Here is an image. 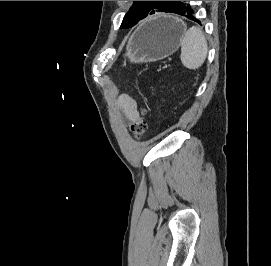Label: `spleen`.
Masks as SVG:
<instances>
[{
  "label": "spleen",
  "instance_id": "3e777b00",
  "mask_svg": "<svg viewBox=\"0 0 271 266\" xmlns=\"http://www.w3.org/2000/svg\"><path fill=\"white\" fill-rule=\"evenodd\" d=\"M208 53V44L203 31L192 26L185 31L181 41V62L191 70L198 69L204 63Z\"/></svg>",
  "mask_w": 271,
  "mask_h": 266
}]
</instances>
